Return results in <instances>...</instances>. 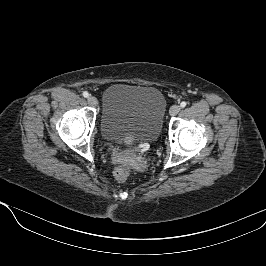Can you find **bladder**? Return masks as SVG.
Masks as SVG:
<instances>
[{
	"label": "bladder",
	"mask_w": 266,
	"mask_h": 266,
	"mask_svg": "<svg viewBox=\"0 0 266 266\" xmlns=\"http://www.w3.org/2000/svg\"><path fill=\"white\" fill-rule=\"evenodd\" d=\"M166 99L155 87L113 84L103 93L100 129L113 143H151L158 139Z\"/></svg>",
	"instance_id": "obj_1"
}]
</instances>
